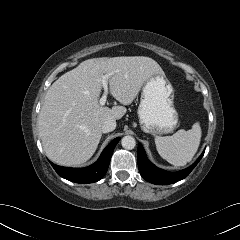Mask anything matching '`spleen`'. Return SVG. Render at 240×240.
I'll return each instance as SVG.
<instances>
[{
  "instance_id": "3e777b00",
  "label": "spleen",
  "mask_w": 240,
  "mask_h": 240,
  "mask_svg": "<svg viewBox=\"0 0 240 240\" xmlns=\"http://www.w3.org/2000/svg\"><path fill=\"white\" fill-rule=\"evenodd\" d=\"M201 140V127L196 122L190 130L180 129L172 136H156L159 155L174 166H184L192 160Z\"/></svg>"
}]
</instances>
